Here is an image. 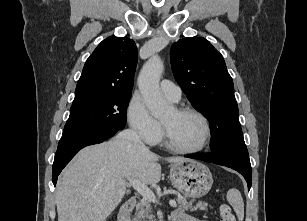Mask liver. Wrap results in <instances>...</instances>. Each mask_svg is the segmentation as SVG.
Here are the masks:
<instances>
[{
	"label": "liver",
	"instance_id": "liver-1",
	"mask_svg": "<svg viewBox=\"0 0 307 221\" xmlns=\"http://www.w3.org/2000/svg\"><path fill=\"white\" fill-rule=\"evenodd\" d=\"M159 156L117 137L82 149L63 170L56 188L58 221H104L126 193L127 180L161 179ZM170 163L186 159L170 157Z\"/></svg>",
	"mask_w": 307,
	"mask_h": 221
}]
</instances>
